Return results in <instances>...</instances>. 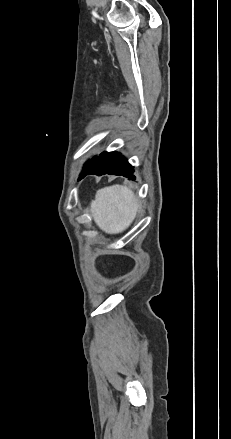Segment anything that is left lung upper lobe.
Returning a JSON list of instances; mask_svg holds the SVG:
<instances>
[{"instance_id":"obj_1","label":"left lung upper lobe","mask_w":231,"mask_h":439,"mask_svg":"<svg viewBox=\"0 0 231 439\" xmlns=\"http://www.w3.org/2000/svg\"><path fill=\"white\" fill-rule=\"evenodd\" d=\"M97 158V156H94L92 159H90L83 167L82 172H84L87 168H89L93 162L95 161V159ZM81 175V174H80Z\"/></svg>"}]
</instances>
